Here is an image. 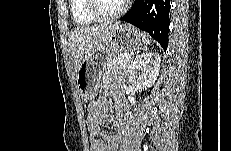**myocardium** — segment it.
<instances>
[{
    "label": "myocardium",
    "mask_w": 231,
    "mask_h": 151,
    "mask_svg": "<svg viewBox=\"0 0 231 151\" xmlns=\"http://www.w3.org/2000/svg\"><path fill=\"white\" fill-rule=\"evenodd\" d=\"M99 0H88V11L92 17H94L97 21L101 22H108V21H114L116 19H119L122 17L127 9H128V1H124L122 3L121 8L113 14H102L99 10Z\"/></svg>",
    "instance_id": "f54148a6"
}]
</instances>
